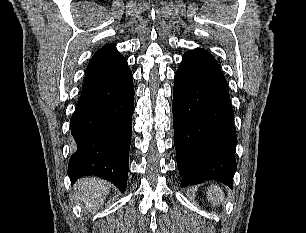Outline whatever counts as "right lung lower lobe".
I'll return each instance as SVG.
<instances>
[{"instance_id": "obj_1", "label": "right lung lower lobe", "mask_w": 306, "mask_h": 233, "mask_svg": "<svg viewBox=\"0 0 306 233\" xmlns=\"http://www.w3.org/2000/svg\"><path fill=\"white\" fill-rule=\"evenodd\" d=\"M133 98L129 68L109 83L82 91L70 119L73 143L68 176L72 182L95 175L126 190Z\"/></svg>"}]
</instances>
